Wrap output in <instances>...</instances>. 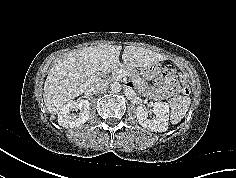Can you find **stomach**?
I'll list each match as a JSON object with an SVG mask.
<instances>
[{"label":"stomach","mask_w":236,"mask_h":178,"mask_svg":"<svg viewBox=\"0 0 236 178\" xmlns=\"http://www.w3.org/2000/svg\"><path fill=\"white\" fill-rule=\"evenodd\" d=\"M161 72V66L158 63L152 64L150 66L140 68V75L143 80H153Z\"/></svg>","instance_id":"obj_1"}]
</instances>
